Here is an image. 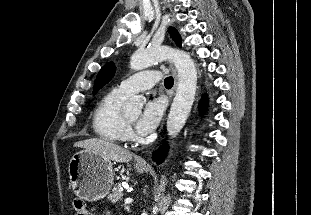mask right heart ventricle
Masks as SVG:
<instances>
[{
    "label": "right heart ventricle",
    "mask_w": 311,
    "mask_h": 215,
    "mask_svg": "<svg viewBox=\"0 0 311 215\" xmlns=\"http://www.w3.org/2000/svg\"><path fill=\"white\" fill-rule=\"evenodd\" d=\"M127 97V94L114 88L99 101L92 119L94 132L99 138L113 143L127 138V123L121 111Z\"/></svg>",
    "instance_id": "e07e8e85"
}]
</instances>
